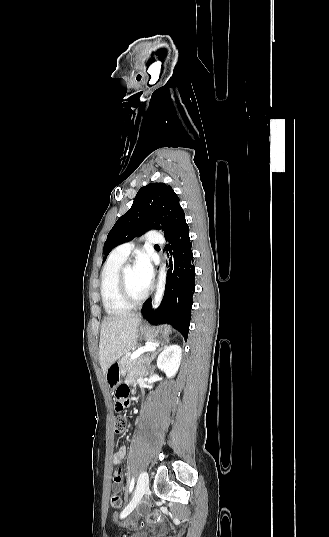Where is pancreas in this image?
<instances>
[{"instance_id":"cf45deb5","label":"pancreas","mask_w":329,"mask_h":537,"mask_svg":"<svg viewBox=\"0 0 329 537\" xmlns=\"http://www.w3.org/2000/svg\"><path fill=\"white\" fill-rule=\"evenodd\" d=\"M130 356H131L130 353H127L124 357H122L120 361V373L122 374L126 373L135 364V360L131 361ZM149 356L150 354L143 355L142 357H140V361L144 362L146 358Z\"/></svg>"}]
</instances>
